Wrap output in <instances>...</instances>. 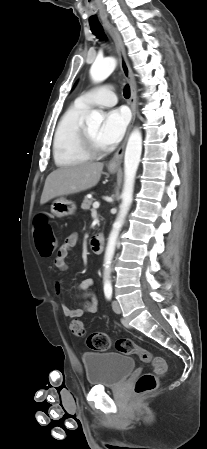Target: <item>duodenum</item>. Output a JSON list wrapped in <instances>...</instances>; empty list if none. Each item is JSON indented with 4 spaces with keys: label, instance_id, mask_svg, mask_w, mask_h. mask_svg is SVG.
<instances>
[{
    "label": "duodenum",
    "instance_id": "obj_1",
    "mask_svg": "<svg viewBox=\"0 0 207 449\" xmlns=\"http://www.w3.org/2000/svg\"><path fill=\"white\" fill-rule=\"evenodd\" d=\"M91 249L94 253H101L104 248V238L101 234L95 235L90 240Z\"/></svg>",
    "mask_w": 207,
    "mask_h": 449
}]
</instances>
